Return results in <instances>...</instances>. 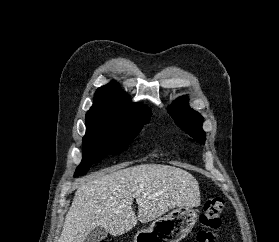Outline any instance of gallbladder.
Returning <instances> with one entry per match:
<instances>
[{"mask_svg":"<svg viewBox=\"0 0 279 242\" xmlns=\"http://www.w3.org/2000/svg\"><path fill=\"white\" fill-rule=\"evenodd\" d=\"M107 235L108 232L105 229L97 227L87 235L85 242H101Z\"/></svg>","mask_w":279,"mask_h":242,"instance_id":"gallbladder-1","label":"gallbladder"}]
</instances>
